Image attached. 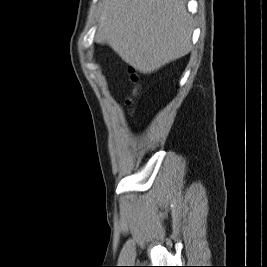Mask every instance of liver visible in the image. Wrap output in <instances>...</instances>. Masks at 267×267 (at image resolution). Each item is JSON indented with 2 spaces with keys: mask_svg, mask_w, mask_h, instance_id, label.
<instances>
[{
  "mask_svg": "<svg viewBox=\"0 0 267 267\" xmlns=\"http://www.w3.org/2000/svg\"><path fill=\"white\" fill-rule=\"evenodd\" d=\"M95 40L143 74L187 55L193 21L186 0H103Z\"/></svg>",
  "mask_w": 267,
  "mask_h": 267,
  "instance_id": "obj_1",
  "label": "liver"
}]
</instances>
